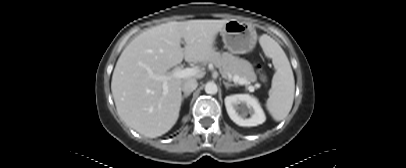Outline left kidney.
Wrapping results in <instances>:
<instances>
[{"label":"left kidney","instance_id":"1","mask_svg":"<svg viewBox=\"0 0 406 168\" xmlns=\"http://www.w3.org/2000/svg\"><path fill=\"white\" fill-rule=\"evenodd\" d=\"M225 107L231 120L239 126H257L266 120L259 102L248 94L227 96ZM248 113L251 114L249 118H247Z\"/></svg>","mask_w":406,"mask_h":168}]
</instances>
